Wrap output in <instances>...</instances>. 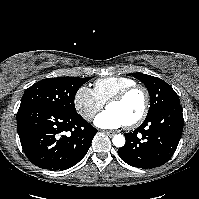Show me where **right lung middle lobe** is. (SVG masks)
Segmentation results:
<instances>
[{
	"instance_id": "1",
	"label": "right lung middle lobe",
	"mask_w": 199,
	"mask_h": 199,
	"mask_svg": "<svg viewBox=\"0 0 199 199\" xmlns=\"http://www.w3.org/2000/svg\"><path fill=\"white\" fill-rule=\"evenodd\" d=\"M92 77H58L43 79L27 88L20 107L39 105L64 114H75L74 98L78 89Z\"/></svg>"
}]
</instances>
